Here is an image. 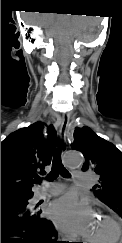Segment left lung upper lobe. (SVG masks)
Masks as SVG:
<instances>
[{
  "mask_svg": "<svg viewBox=\"0 0 122 243\" xmlns=\"http://www.w3.org/2000/svg\"><path fill=\"white\" fill-rule=\"evenodd\" d=\"M72 148L85 157L83 171L92 168L100 175L94 195L122 217V153L89 127L75 129Z\"/></svg>",
  "mask_w": 122,
  "mask_h": 243,
  "instance_id": "1",
  "label": "left lung upper lobe"
}]
</instances>
